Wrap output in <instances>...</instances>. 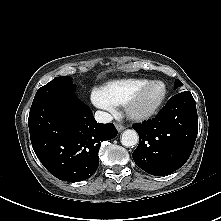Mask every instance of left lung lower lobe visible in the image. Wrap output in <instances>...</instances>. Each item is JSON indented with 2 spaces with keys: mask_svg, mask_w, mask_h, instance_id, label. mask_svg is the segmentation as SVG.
<instances>
[{
  "mask_svg": "<svg viewBox=\"0 0 221 221\" xmlns=\"http://www.w3.org/2000/svg\"><path fill=\"white\" fill-rule=\"evenodd\" d=\"M133 128L139 135V145L132 153L137 166L155 176L176 171L188 160L197 137L198 116L192 94H176L154 119Z\"/></svg>",
  "mask_w": 221,
  "mask_h": 221,
  "instance_id": "0a47b994",
  "label": "left lung lower lobe"
}]
</instances>
